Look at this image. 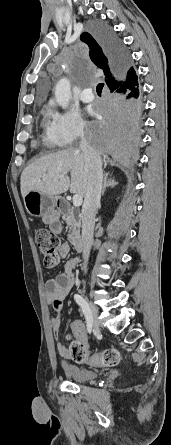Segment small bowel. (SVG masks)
I'll use <instances>...</instances> for the list:
<instances>
[{
  "mask_svg": "<svg viewBox=\"0 0 171 445\" xmlns=\"http://www.w3.org/2000/svg\"><path fill=\"white\" fill-rule=\"evenodd\" d=\"M50 229L53 233H60L62 226L59 222L50 223ZM70 252V246L67 243H62L59 247V253L61 258H65ZM80 262V258L69 259L64 266L62 273L58 274L54 279H50L45 284L46 299L48 303L53 305L56 316L51 319V326L54 334L57 336L59 327L61 324V316L63 313V301L71 291L75 284L74 268ZM71 329L75 337L76 342L83 343L87 347V332L84 324L81 321H74L71 324ZM57 350L59 354L65 358L70 359V349L65 345L58 343ZM70 365L67 362L63 363L64 368H68Z\"/></svg>",
  "mask_w": 171,
  "mask_h": 445,
  "instance_id": "c3829d8e",
  "label": "small bowel"
}]
</instances>
